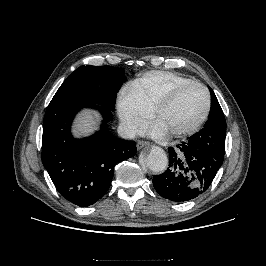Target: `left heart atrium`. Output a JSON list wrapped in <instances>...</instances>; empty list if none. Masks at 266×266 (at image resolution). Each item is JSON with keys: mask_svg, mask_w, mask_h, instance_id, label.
Segmentation results:
<instances>
[{"mask_svg": "<svg viewBox=\"0 0 266 266\" xmlns=\"http://www.w3.org/2000/svg\"><path fill=\"white\" fill-rule=\"evenodd\" d=\"M150 133L155 137L161 138V137H164L168 132L160 123L157 122L153 126Z\"/></svg>", "mask_w": 266, "mask_h": 266, "instance_id": "obj_1", "label": "left heart atrium"}]
</instances>
